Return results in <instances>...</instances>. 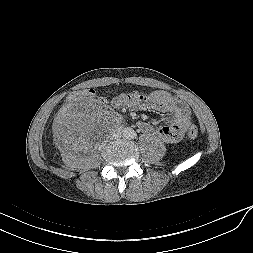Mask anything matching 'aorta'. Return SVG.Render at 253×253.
Instances as JSON below:
<instances>
[{
    "mask_svg": "<svg viewBox=\"0 0 253 253\" xmlns=\"http://www.w3.org/2000/svg\"><path fill=\"white\" fill-rule=\"evenodd\" d=\"M132 133H133V131H132L131 128H125L124 131H123V134L125 136H130Z\"/></svg>",
    "mask_w": 253,
    "mask_h": 253,
    "instance_id": "obj_1",
    "label": "aorta"
}]
</instances>
